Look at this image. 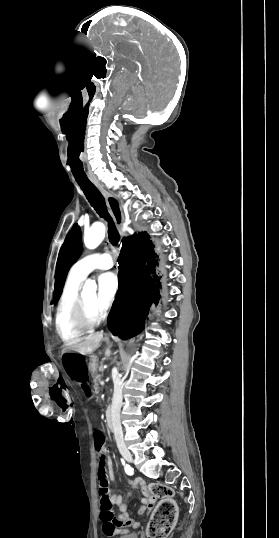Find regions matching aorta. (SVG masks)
<instances>
[{
  "label": "aorta",
  "instance_id": "762f6f07",
  "mask_svg": "<svg viewBox=\"0 0 279 538\" xmlns=\"http://www.w3.org/2000/svg\"><path fill=\"white\" fill-rule=\"evenodd\" d=\"M105 237V226L101 222L94 223L84 233V244L88 249H95ZM97 285L93 280L88 279L83 285L82 295L86 297L95 296Z\"/></svg>",
  "mask_w": 279,
  "mask_h": 538
}]
</instances>
